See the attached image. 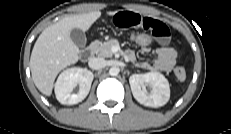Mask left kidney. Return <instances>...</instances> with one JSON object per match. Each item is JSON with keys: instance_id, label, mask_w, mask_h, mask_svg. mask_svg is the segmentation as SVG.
I'll return each instance as SVG.
<instances>
[{"instance_id": "left-kidney-1", "label": "left kidney", "mask_w": 231, "mask_h": 134, "mask_svg": "<svg viewBox=\"0 0 231 134\" xmlns=\"http://www.w3.org/2000/svg\"><path fill=\"white\" fill-rule=\"evenodd\" d=\"M129 83L134 98L142 105L156 108L165 105L170 98L168 80L159 72L133 74ZM146 85L151 87L150 93L146 91Z\"/></svg>"}]
</instances>
